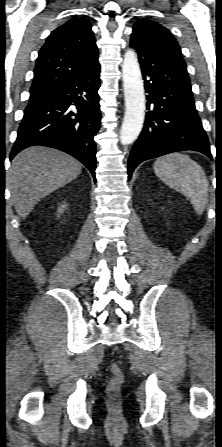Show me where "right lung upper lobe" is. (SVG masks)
I'll return each instance as SVG.
<instances>
[{
	"instance_id": "1",
	"label": "right lung upper lobe",
	"mask_w": 222,
	"mask_h": 447,
	"mask_svg": "<svg viewBox=\"0 0 222 447\" xmlns=\"http://www.w3.org/2000/svg\"><path fill=\"white\" fill-rule=\"evenodd\" d=\"M98 62L90 22L74 17L55 29L39 51L30 101L49 97Z\"/></svg>"
}]
</instances>
